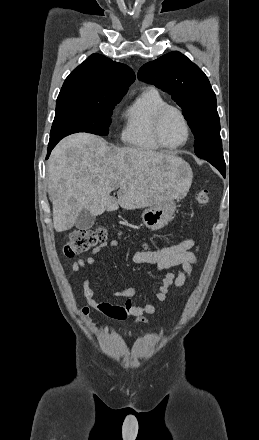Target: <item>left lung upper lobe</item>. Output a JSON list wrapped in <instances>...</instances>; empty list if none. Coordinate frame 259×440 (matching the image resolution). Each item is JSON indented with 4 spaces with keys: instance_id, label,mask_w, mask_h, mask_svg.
Listing matches in <instances>:
<instances>
[{
    "instance_id": "5c2ea615",
    "label": "left lung upper lobe",
    "mask_w": 259,
    "mask_h": 440,
    "mask_svg": "<svg viewBox=\"0 0 259 440\" xmlns=\"http://www.w3.org/2000/svg\"><path fill=\"white\" fill-rule=\"evenodd\" d=\"M138 78L169 93L182 108L194 137L198 157L222 163V141L216 96L207 76L178 51L143 65Z\"/></svg>"
}]
</instances>
